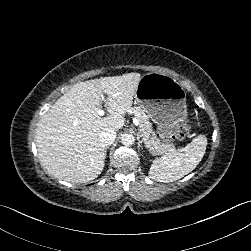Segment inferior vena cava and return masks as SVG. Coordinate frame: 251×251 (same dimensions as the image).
Masks as SVG:
<instances>
[{
    "instance_id": "obj_1",
    "label": "inferior vena cava",
    "mask_w": 251,
    "mask_h": 251,
    "mask_svg": "<svg viewBox=\"0 0 251 251\" xmlns=\"http://www.w3.org/2000/svg\"><path fill=\"white\" fill-rule=\"evenodd\" d=\"M116 137V132L112 129L103 130L99 135L100 143L103 147L110 146Z\"/></svg>"
}]
</instances>
